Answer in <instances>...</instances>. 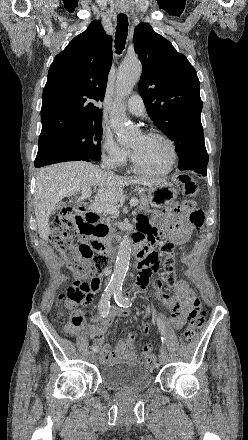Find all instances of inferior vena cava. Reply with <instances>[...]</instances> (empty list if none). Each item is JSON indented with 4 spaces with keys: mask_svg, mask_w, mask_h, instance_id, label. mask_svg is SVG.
I'll return each mask as SVG.
<instances>
[{
    "mask_svg": "<svg viewBox=\"0 0 248 440\" xmlns=\"http://www.w3.org/2000/svg\"><path fill=\"white\" fill-rule=\"evenodd\" d=\"M101 167H102L104 170H108L107 173H109V174H113V172H112L111 170H109V164H108V162H103V163L101 164Z\"/></svg>",
    "mask_w": 248,
    "mask_h": 440,
    "instance_id": "inferior-vena-cava-1",
    "label": "inferior vena cava"
}]
</instances>
